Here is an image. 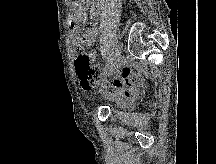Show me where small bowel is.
<instances>
[{"label": "small bowel", "instance_id": "small-bowel-1", "mask_svg": "<svg viewBox=\"0 0 216 164\" xmlns=\"http://www.w3.org/2000/svg\"><path fill=\"white\" fill-rule=\"evenodd\" d=\"M97 35V27L95 23H91L82 37L86 46H93ZM138 78L132 73L128 66H124L121 73L112 81L104 80L101 85V92L107 99L117 101L123 105L129 102L138 89Z\"/></svg>", "mask_w": 216, "mask_h": 164}]
</instances>
